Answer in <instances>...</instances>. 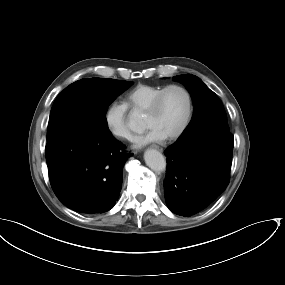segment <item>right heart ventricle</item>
<instances>
[{
  "instance_id": "right-heart-ventricle-1",
  "label": "right heart ventricle",
  "mask_w": 285,
  "mask_h": 285,
  "mask_svg": "<svg viewBox=\"0 0 285 285\" xmlns=\"http://www.w3.org/2000/svg\"><path fill=\"white\" fill-rule=\"evenodd\" d=\"M162 88L159 85L139 84L124 96L123 106L131 112H144Z\"/></svg>"
}]
</instances>
